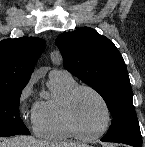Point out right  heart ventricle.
<instances>
[{
	"mask_svg": "<svg viewBox=\"0 0 145 147\" xmlns=\"http://www.w3.org/2000/svg\"><path fill=\"white\" fill-rule=\"evenodd\" d=\"M76 86L72 76L49 77V96L35 104L34 130L39 137L57 141L79 137L66 121L63 110L66 96Z\"/></svg>",
	"mask_w": 145,
	"mask_h": 147,
	"instance_id": "obj_1",
	"label": "right heart ventricle"
}]
</instances>
